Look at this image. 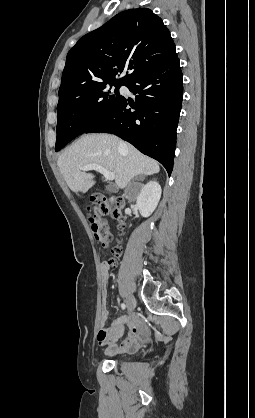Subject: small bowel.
I'll return each instance as SVG.
<instances>
[{"label": "small bowel", "mask_w": 255, "mask_h": 418, "mask_svg": "<svg viewBox=\"0 0 255 418\" xmlns=\"http://www.w3.org/2000/svg\"><path fill=\"white\" fill-rule=\"evenodd\" d=\"M103 292L107 287L109 266L106 262L100 265ZM108 319V310L105 305L101 311L102 326L97 334L98 344L106 347V354L116 355L127 351L138 349L148 336L147 329L141 324L138 316L121 317L111 325L105 326ZM127 324L128 331L125 333L124 324Z\"/></svg>", "instance_id": "1"}]
</instances>
